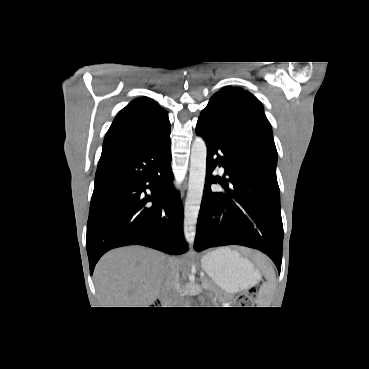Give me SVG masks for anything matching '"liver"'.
Listing matches in <instances>:
<instances>
[{
    "label": "liver",
    "mask_w": 369,
    "mask_h": 369,
    "mask_svg": "<svg viewBox=\"0 0 369 369\" xmlns=\"http://www.w3.org/2000/svg\"><path fill=\"white\" fill-rule=\"evenodd\" d=\"M169 262L181 268L176 257L140 246L106 253L94 270L100 303L106 305L102 307H149L161 293Z\"/></svg>",
    "instance_id": "liver-1"
}]
</instances>
